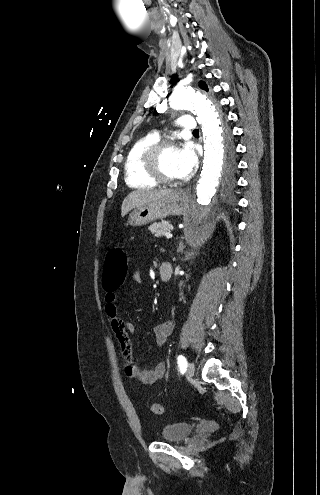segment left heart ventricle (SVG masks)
I'll return each instance as SVG.
<instances>
[{"instance_id": "left-heart-ventricle-1", "label": "left heart ventricle", "mask_w": 320, "mask_h": 495, "mask_svg": "<svg viewBox=\"0 0 320 495\" xmlns=\"http://www.w3.org/2000/svg\"><path fill=\"white\" fill-rule=\"evenodd\" d=\"M179 148H167L163 151L160 157L161 172L173 179L180 178V172L177 163V154Z\"/></svg>"}]
</instances>
